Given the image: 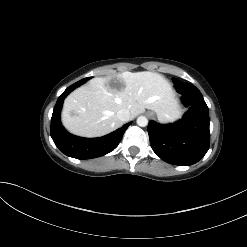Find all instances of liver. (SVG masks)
Returning a JSON list of instances; mask_svg holds the SVG:
<instances>
[{
    "label": "liver",
    "mask_w": 247,
    "mask_h": 247,
    "mask_svg": "<svg viewBox=\"0 0 247 247\" xmlns=\"http://www.w3.org/2000/svg\"><path fill=\"white\" fill-rule=\"evenodd\" d=\"M121 109H128L131 119L145 109L154 111L161 122L181 116L172 86L162 75L126 71L95 77L73 91L64 101L62 123L73 134L100 137L122 126L117 118Z\"/></svg>",
    "instance_id": "1"
}]
</instances>
